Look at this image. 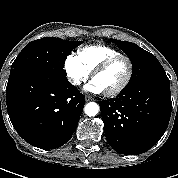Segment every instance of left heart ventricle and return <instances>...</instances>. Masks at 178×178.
Wrapping results in <instances>:
<instances>
[{"mask_svg": "<svg viewBox=\"0 0 178 178\" xmlns=\"http://www.w3.org/2000/svg\"><path fill=\"white\" fill-rule=\"evenodd\" d=\"M126 75L127 63L125 60H119L97 75L94 80L100 85L103 92H107L118 87L124 81Z\"/></svg>", "mask_w": 178, "mask_h": 178, "instance_id": "1", "label": "left heart ventricle"}]
</instances>
